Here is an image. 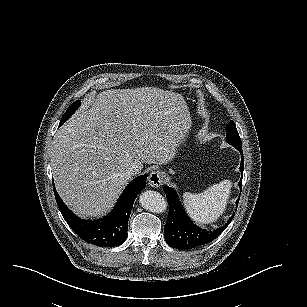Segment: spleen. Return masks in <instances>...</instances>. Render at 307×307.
Masks as SVG:
<instances>
[{"mask_svg":"<svg viewBox=\"0 0 307 307\" xmlns=\"http://www.w3.org/2000/svg\"><path fill=\"white\" fill-rule=\"evenodd\" d=\"M233 181L224 179L203 194L182 195L183 207L187 216L198 226L216 223L226 212Z\"/></svg>","mask_w":307,"mask_h":307,"instance_id":"3e777b00","label":"spleen"}]
</instances>
